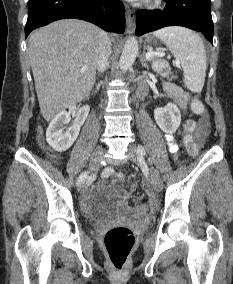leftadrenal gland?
<instances>
[{
    "label": "left adrenal gland",
    "instance_id": "obj_1",
    "mask_svg": "<svg viewBox=\"0 0 233 284\" xmlns=\"http://www.w3.org/2000/svg\"><path fill=\"white\" fill-rule=\"evenodd\" d=\"M141 64H142L143 67H145V68L148 69V64H147V62H146V59H145L144 55H143V57H142V59H141Z\"/></svg>",
    "mask_w": 233,
    "mask_h": 284
}]
</instances>
